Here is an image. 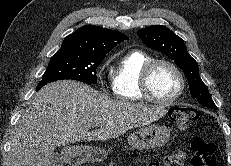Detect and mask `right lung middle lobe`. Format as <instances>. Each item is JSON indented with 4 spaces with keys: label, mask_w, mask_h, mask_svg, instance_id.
<instances>
[{
    "label": "right lung middle lobe",
    "mask_w": 231,
    "mask_h": 166,
    "mask_svg": "<svg viewBox=\"0 0 231 166\" xmlns=\"http://www.w3.org/2000/svg\"><path fill=\"white\" fill-rule=\"evenodd\" d=\"M104 58L105 56L86 55L69 50L58 51L51 58L41 82L71 79L96 84V69Z\"/></svg>",
    "instance_id": "obj_1"
}]
</instances>
